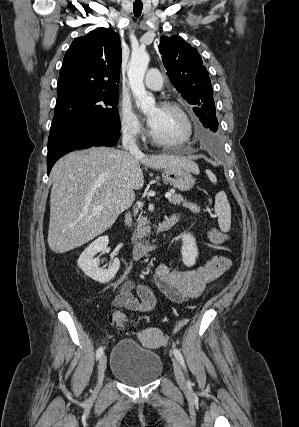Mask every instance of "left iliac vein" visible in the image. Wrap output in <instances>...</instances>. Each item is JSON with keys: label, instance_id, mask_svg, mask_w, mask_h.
<instances>
[{"label": "left iliac vein", "instance_id": "4c4485c4", "mask_svg": "<svg viewBox=\"0 0 299 427\" xmlns=\"http://www.w3.org/2000/svg\"><path fill=\"white\" fill-rule=\"evenodd\" d=\"M173 368H174V374H175L177 382L180 384H184L185 383V377H184L183 370H182L181 366L179 365V363L175 359H173Z\"/></svg>", "mask_w": 299, "mask_h": 427}]
</instances>
